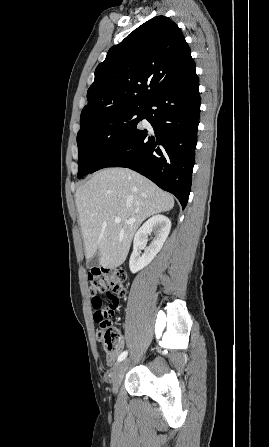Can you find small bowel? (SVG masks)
Instances as JSON below:
<instances>
[{
	"mask_svg": "<svg viewBox=\"0 0 269 447\" xmlns=\"http://www.w3.org/2000/svg\"><path fill=\"white\" fill-rule=\"evenodd\" d=\"M123 345H124V340H122V342H121V347H123ZM119 351L120 350H117L116 352H114V353H112V354H109V355H107L106 356V364L108 365V366H111L114 362H115V360H116V358H117V356H118V354H119Z\"/></svg>",
	"mask_w": 269,
	"mask_h": 447,
	"instance_id": "c3829d8e",
	"label": "small bowel"
}]
</instances>
